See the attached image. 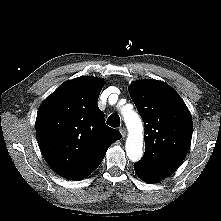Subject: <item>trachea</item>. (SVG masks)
Instances as JSON below:
<instances>
[{
	"mask_svg": "<svg viewBox=\"0 0 221 221\" xmlns=\"http://www.w3.org/2000/svg\"><path fill=\"white\" fill-rule=\"evenodd\" d=\"M107 124L114 128L119 127L120 117L117 114H111L107 119Z\"/></svg>",
	"mask_w": 221,
	"mask_h": 221,
	"instance_id": "obj_1",
	"label": "trachea"
}]
</instances>
